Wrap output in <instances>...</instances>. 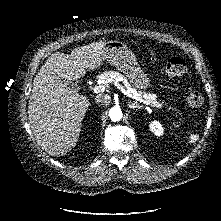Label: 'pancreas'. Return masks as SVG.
<instances>
[{
  "mask_svg": "<svg viewBox=\"0 0 221 221\" xmlns=\"http://www.w3.org/2000/svg\"><path fill=\"white\" fill-rule=\"evenodd\" d=\"M121 79H122L125 87L127 89H130L131 93H136L140 98L144 99L145 101H148L152 106H155L156 104H158L156 94L146 93V92H142L140 90H137L135 88H132L131 85L126 80V78L118 72L106 71V72L102 73L101 75H99V80L106 87H108L110 83L120 81Z\"/></svg>",
  "mask_w": 221,
  "mask_h": 221,
  "instance_id": "obj_1",
  "label": "pancreas"
}]
</instances>
